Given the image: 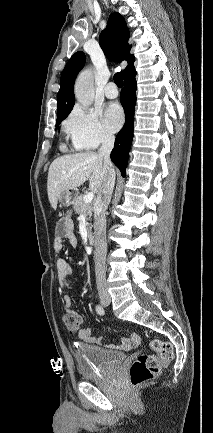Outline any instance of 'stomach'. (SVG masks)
<instances>
[{
    "label": "stomach",
    "instance_id": "stomach-1",
    "mask_svg": "<svg viewBox=\"0 0 213 433\" xmlns=\"http://www.w3.org/2000/svg\"><path fill=\"white\" fill-rule=\"evenodd\" d=\"M75 196H76V194L73 190H71V189L66 190L59 196V202L63 206H70L72 204Z\"/></svg>",
    "mask_w": 213,
    "mask_h": 433
}]
</instances>
